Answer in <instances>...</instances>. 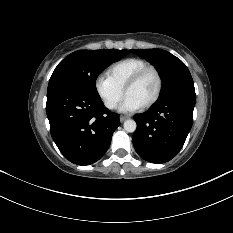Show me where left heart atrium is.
I'll return each instance as SVG.
<instances>
[{"instance_id":"left-heart-atrium-1","label":"left heart atrium","mask_w":233,"mask_h":233,"mask_svg":"<svg viewBox=\"0 0 233 233\" xmlns=\"http://www.w3.org/2000/svg\"><path fill=\"white\" fill-rule=\"evenodd\" d=\"M141 108V104H139L136 100L129 96H125L122 104L120 105V111L130 113L134 112Z\"/></svg>"}]
</instances>
